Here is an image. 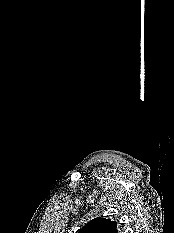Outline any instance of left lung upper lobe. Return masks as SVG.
<instances>
[{
    "label": "left lung upper lobe",
    "instance_id": "1",
    "mask_svg": "<svg viewBox=\"0 0 174 233\" xmlns=\"http://www.w3.org/2000/svg\"><path fill=\"white\" fill-rule=\"evenodd\" d=\"M117 223L105 218H94L85 224L78 233H117Z\"/></svg>",
    "mask_w": 174,
    "mask_h": 233
}]
</instances>
